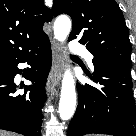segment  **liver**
I'll return each instance as SVG.
<instances>
[{
  "instance_id": "liver-1",
  "label": "liver",
  "mask_w": 136,
  "mask_h": 136,
  "mask_svg": "<svg viewBox=\"0 0 136 136\" xmlns=\"http://www.w3.org/2000/svg\"><path fill=\"white\" fill-rule=\"evenodd\" d=\"M0 136H15V135L0 130Z\"/></svg>"
}]
</instances>
